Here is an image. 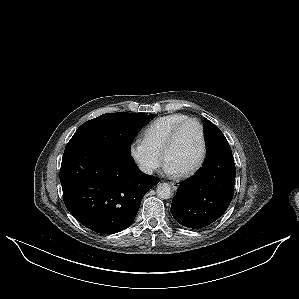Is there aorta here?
<instances>
[{
    "label": "aorta",
    "instance_id": "obj_1",
    "mask_svg": "<svg viewBox=\"0 0 299 299\" xmlns=\"http://www.w3.org/2000/svg\"><path fill=\"white\" fill-rule=\"evenodd\" d=\"M156 193L161 199H169L172 196V190L168 183H159Z\"/></svg>",
    "mask_w": 299,
    "mask_h": 299
}]
</instances>
